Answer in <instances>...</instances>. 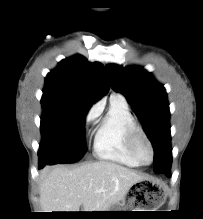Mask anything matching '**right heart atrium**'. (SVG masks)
I'll return each mask as SVG.
<instances>
[{"instance_id":"right-heart-atrium-1","label":"right heart atrium","mask_w":203,"mask_h":219,"mask_svg":"<svg viewBox=\"0 0 203 219\" xmlns=\"http://www.w3.org/2000/svg\"><path fill=\"white\" fill-rule=\"evenodd\" d=\"M99 114H100L99 106L97 105L93 106L86 115V118H85L86 125L92 124L96 120V118L99 116Z\"/></svg>"}]
</instances>
